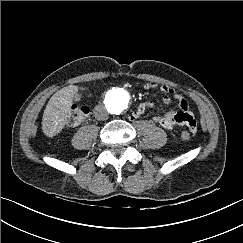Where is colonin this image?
<instances>
[{
    "mask_svg": "<svg viewBox=\"0 0 243 243\" xmlns=\"http://www.w3.org/2000/svg\"><path fill=\"white\" fill-rule=\"evenodd\" d=\"M89 115V108L86 106L73 105L68 116L67 123L69 126H77L81 124ZM192 134L189 130L184 129L181 132V137L184 140H189Z\"/></svg>",
    "mask_w": 243,
    "mask_h": 243,
    "instance_id": "5ec220e1",
    "label": "colon"
}]
</instances>
